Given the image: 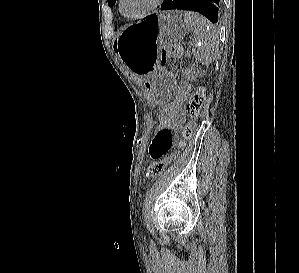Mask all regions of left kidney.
Returning a JSON list of instances; mask_svg holds the SVG:
<instances>
[{
	"label": "left kidney",
	"instance_id": "5707ae66",
	"mask_svg": "<svg viewBox=\"0 0 299 273\" xmlns=\"http://www.w3.org/2000/svg\"><path fill=\"white\" fill-rule=\"evenodd\" d=\"M196 71L193 70V69H188L186 72H185V75H186V78H188V80H195L196 78V75H195Z\"/></svg>",
	"mask_w": 299,
	"mask_h": 273
}]
</instances>
